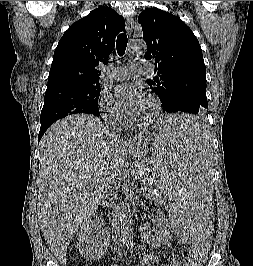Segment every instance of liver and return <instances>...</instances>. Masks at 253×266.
<instances>
[{"instance_id": "liver-1", "label": "liver", "mask_w": 253, "mask_h": 266, "mask_svg": "<svg viewBox=\"0 0 253 266\" xmlns=\"http://www.w3.org/2000/svg\"><path fill=\"white\" fill-rule=\"evenodd\" d=\"M129 147L107 136L91 115L68 116L43 136L38 220L58 260H64L73 235L95 214L109 180L121 173Z\"/></svg>"}]
</instances>
